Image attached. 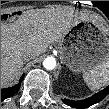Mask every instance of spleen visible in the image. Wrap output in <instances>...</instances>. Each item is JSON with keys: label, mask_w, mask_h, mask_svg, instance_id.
Here are the masks:
<instances>
[{"label": "spleen", "mask_w": 109, "mask_h": 109, "mask_svg": "<svg viewBox=\"0 0 109 109\" xmlns=\"http://www.w3.org/2000/svg\"><path fill=\"white\" fill-rule=\"evenodd\" d=\"M83 79L91 90H99L109 84V61L83 74Z\"/></svg>", "instance_id": "obj_1"}]
</instances>
